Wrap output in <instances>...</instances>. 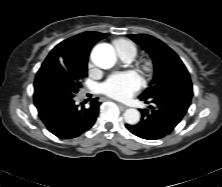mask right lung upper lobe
<instances>
[{"instance_id": "cb5924a9", "label": "right lung upper lobe", "mask_w": 222, "mask_h": 187, "mask_svg": "<svg viewBox=\"0 0 222 187\" xmlns=\"http://www.w3.org/2000/svg\"><path fill=\"white\" fill-rule=\"evenodd\" d=\"M106 36L105 33L88 31L68 38L50 52L44 63L50 65L59 59L87 62L93 45Z\"/></svg>"}]
</instances>
